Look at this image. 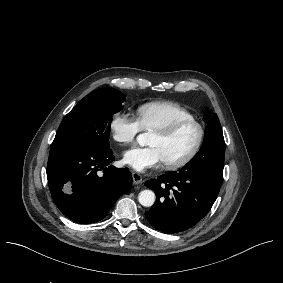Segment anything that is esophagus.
<instances>
[{
    "instance_id": "34e87169",
    "label": "esophagus",
    "mask_w": 283,
    "mask_h": 283,
    "mask_svg": "<svg viewBox=\"0 0 283 283\" xmlns=\"http://www.w3.org/2000/svg\"><path fill=\"white\" fill-rule=\"evenodd\" d=\"M132 178L135 184H141L143 182L142 176L137 172H132Z\"/></svg>"
}]
</instances>
